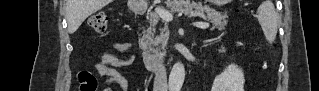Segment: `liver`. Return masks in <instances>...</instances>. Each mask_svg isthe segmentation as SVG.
Instances as JSON below:
<instances>
[{
	"instance_id": "1",
	"label": "liver",
	"mask_w": 319,
	"mask_h": 91,
	"mask_svg": "<svg viewBox=\"0 0 319 91\" xmlns=\"http://www.w3.org/2000/svg\"><path fill=\"white\" fill-rule=\"evenodd\" d=\"M111 0H67V21L70 32H75L87 17L99 11Z\"/></svg>"
}]
</instances>
